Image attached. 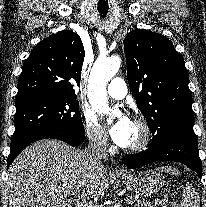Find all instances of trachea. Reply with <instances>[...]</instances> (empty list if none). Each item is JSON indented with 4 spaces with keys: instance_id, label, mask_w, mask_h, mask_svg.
Instances as JSON below:
<instances>
[{
    "instance_id": "1",
    "label": "trachea",
    "mask_w": 206,
    "mask_h": 207,
    "mask_svg": "<svg viewBox=\"0 0 206 207\" xmlns=\"http://www.w3.org/2000/svg\"><path fill=\"white\" fill-rule=\"evenodd\" d=\"M102 17H106L108 11H98Z\"/></svg>"
}]
</instances>
